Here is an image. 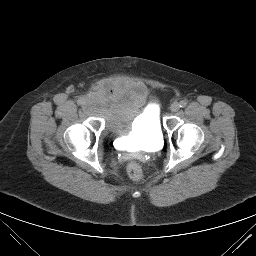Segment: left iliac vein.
<instances>
[{"label":"left iliac vein","instance_id":"1","mask_svg":"<svg viewBox=\"0 0 256 256\" xmlns=\"http://www.w3.org/2000/svg\"><path fill=\"white\" fill-rule=\"evenodd\" d=\"M179 107H180L179 104L177 102H174V103L171 104L170 110L172 112H177L179 110Z\"/></svg>","mask_w":256,"mask_h":256}]
</instances>
